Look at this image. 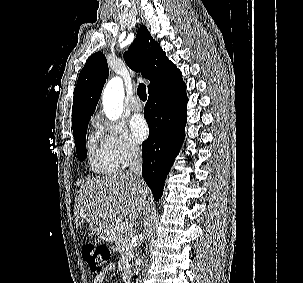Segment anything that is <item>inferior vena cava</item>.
<instances>
[{
  "instance_id": "inferior-vena-cava-1",
  "label": "inferior vena cava",
  "mask_w": 303,
  "mask_h": 283,
  "mask_svg": "<svg viewBox=\"0 0 303 283\" xmlns=\"http://www.w3.org/2000/svg\"><path fill=\"white\" fill-rule=\"evenodd\" d=\"M130 175L140 178L142 171V152L139 146L132 144L129 150ZM136 283H142L141 279H137Z\"/></svg>"
}]
</instances>
